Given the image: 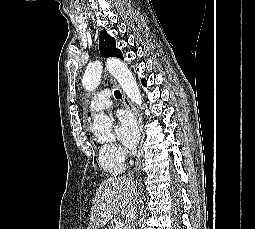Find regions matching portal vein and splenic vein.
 Instances as JSON below:
<instances>
[{"label":"portal vein and splenic vein","mask_w":255,"mask_h":229,"mask_svg":"<svg viewBox=\"0 0 255 229\" xmlns=\"http://www.w3.org/2000/svg\"><path fill=\"white\" fill-rule=\"evenodd\" d=\"M115 229H123V223L121 221H118L116 224H115Z\"/></svg>","instance_id":"obj_1"}]
</instances>
